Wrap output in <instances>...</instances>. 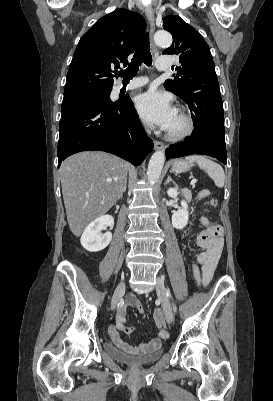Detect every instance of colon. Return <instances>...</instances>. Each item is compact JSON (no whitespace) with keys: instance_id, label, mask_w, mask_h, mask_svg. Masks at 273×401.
<instances>
[{"instance_id":"1","label":"colon","mask_w":273,"mask_h":401,"mask_svg":"<svg viewBox=\"0 0 273 401\" xmlns=\"http://www.w3.org/2000/svg\"><path fill=\"white\" fill-rule=\"evenodd\" d=\"M221 227L218 224L211 225L207 232H203L201 238L203 241H212L213 238L219 237L221 234ZM136 308L140 315H143L146 311V308L143 305V301L141 298H138L136 301Z\"/></svg>"}]
</instances>
